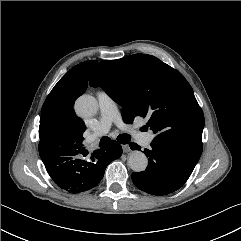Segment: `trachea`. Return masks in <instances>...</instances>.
I'll return each mask as SVG.
<instances>
[{
	"label": "trachea",
	"mask_w": 241,
	"mask_h": 241,
	"mask_svg": "<svg viewBox=\"0 0 241 241\" xmlns=\"http://www.w3.org/2000/svg\"><path fill=\"white\" fill-rule=\"evenodd\" d=\"M130 139H131V137L128 134H120L117 137V141L121 144H128L130 142ZM109 142H110L109 137H107V136L102 137L100 140L99 146L100 147L106 146L107 144H109Z\"/></svg>",
	"instance_id": "trachea-1"
}]
</instances>
